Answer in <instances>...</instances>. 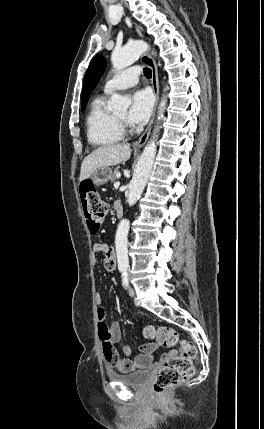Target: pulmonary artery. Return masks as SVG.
Instances as JSON below:
<instances>
[{"label": "pulmonary artery", "mask_w": 264, "mask_h": 429, "mask_svg": "<svg viewBox=\"0 0 264 429\" xmlns=\"http://www.w3.org/2000/svg\"><path fill=\"white\" fill-rule=\"evenodd\" d=\"M139 74L140 72L137 67H131L119 72L105 83L103 87L104 93L109 94L136 85Z\"/></svg>", "instance_id": "pulmonary-artery-1"}]
</instances>
